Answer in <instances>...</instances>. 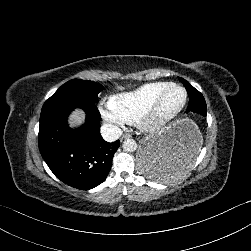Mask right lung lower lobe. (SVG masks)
<instances>
[{"mask_svg": "<svg viewBox=\"0 0 251 251\" xmlns=\"http://www.w3.org/2000/svg\"><path fill=\"white\" fill-rule=\"evenodd\" d=\"M75 108L86 113L85 125L71 129L67 118ZM95 104L80 100L45 102L38 135L40 153L53 174L65 184L89 190L107 177L120 141L106 142Z\"/></svg>", "mask_w": 251, "mask_h": 251, "instance_id": "1", "label": "right lung lower lobe"}]
</instances>
